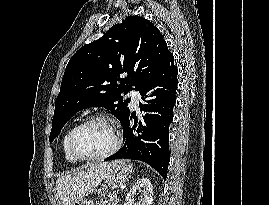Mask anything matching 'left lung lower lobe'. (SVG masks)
Here are the masks:
<instances>
[{
	"label": "left lung lower lobe",
	"mask_w": 269,
	"mask_h": 205,
	"mask_svg": "<svg viewBox=\"0 0 269 205\" xmlns=\"http://www.w3.org/2000/svg\"><path fill=\"white\" fill-rule=\"evenodd\" d=\"M178 70L174 65L173 54H169L157 74L139 90L142 100L149 95L152 99L139 103L142 111L139 117L130 111L122 121L124 146L105 160L133 159L140 160L155 170L162 177H167L169 163V125L173 120V107L176 103ZM134 125H130V120Z\"/></svg>",
	"instance_id": "left-lung-lower-lobe-1"
}]
</instances>
